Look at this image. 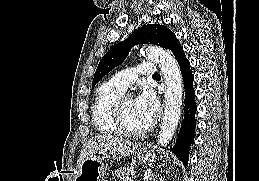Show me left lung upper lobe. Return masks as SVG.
<instances>
[{
    "label": "left lung upper lobe",
    "instance_id": "1",
    "mask_svg": "<svg viewBox=\"0 0 259 181\" xmlns=\"http://www.w3.org/2000/svg\"><path fill=\"white\" fill-rule=\"evenodd\" d=\"M176 42L178 40L169 28L159 24L143 25L104 55L96 69L92 88L104 75L126 59L133 46L138 44H155L165 49H170Z\"/></svg>",
    "mask_w": 259,
    "mask_h": 181
}]
</instances>
